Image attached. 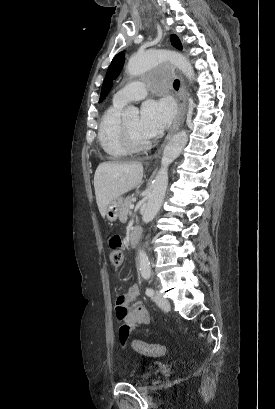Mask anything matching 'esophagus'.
Listing matches in <instances>:
<instances>
[{
  "label": "esophagus",
  "instance_id": "34e87169",
  "mask_svg": "<svg viewBox=\"0 0 275 409\" xmlns=\"http://www.w3.org/2000/svg\"><path fill=\"white\" fill-rule=\"evenodd\" d=\"M180 83L181 85H180V90H179L178 115L172 127L170 128L168 134L166 135V138L164 139L162 145L158 149V154H157L158 156L161 154L167 142L171 139V137H173L175 132L179 129L181 123L184 120L185 114H186L187 94H186V85H185L183 77H180Z\"/></svg>",
  "mask_w": 275,
  "mask_h": 409
}]
</instances>
